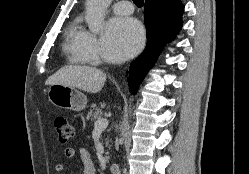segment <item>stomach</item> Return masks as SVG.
I'll use <instances>...</instances> for the list:
<instances>
[{
    "mask_svg": "<svg viewBox=\"0 0 249 174\" xmlns=\"http://www.w3.org/2000/svg\"><path fill=\"white\" fill-rule=\"evenodd\" d=\"M48 98L53 105L73 111H81L87 105V97L82 92L61 84L49 86Z\"/></svg>",
    "mask_w": 249,
    "mask_h": 174,
    "instance_id": "0dacf381",
    "label": "stomach"
}]
</instances>
